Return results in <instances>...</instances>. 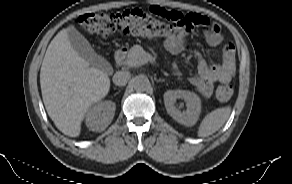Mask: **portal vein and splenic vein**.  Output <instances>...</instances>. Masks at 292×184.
Returning a JSON list of instances; mask_svg holds the SVG:
<instances>
[{
  "label": "portal vein and splenic vein",
  "instance_id": "18ae733b",
  "mask_svg": "<svg viewBox=\"0 0 292 184\" xmlns=\"http://www.w3.org/2000/svg\"><path fill=\"white\" fill-rule=\"evenodd\" d=\"M152 57L148 54H145L143 59L141 60V65L147 63L148 61H151Z\"/></svg>",
  "mask_w": 292,
  "mask_h": 184
}]
</instances>
